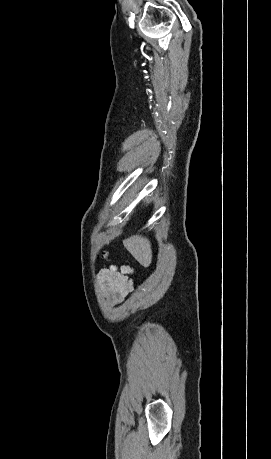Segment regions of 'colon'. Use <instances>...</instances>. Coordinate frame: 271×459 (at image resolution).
<instances>
[{
	"label": "colon",
	"mask_w": 271,
	"mask_h": 459,
	"mask_svg": "<svg viewBox=\"0 0 271 459\" xmlns=\"http://www.w3.org/2000/svg\"><path fill=\"white\" fill-rule=\"evenodd\" d=\"M102 256H104V257L107 256V252H106V251H103V252H102Z\"/></svg>",
	"instance_id": "colon-1"
}]
</instances>
